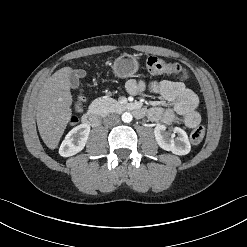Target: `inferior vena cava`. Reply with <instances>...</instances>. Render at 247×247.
Masks as SVG:
<instances>
[{"label": "inferior vena cava", "instance_id": "602c4592", "mask_svg": "<svg viewBox=\"0 0 247 247\" xmlns=\"http://www.w3.org/2000/svg\"><path fill=\"white\" fill-rule=\"evenodd\" d=\"M119 122L120 118L116 114H111L104 118V124L107 126H114L117 125Z\"/></svg>", "mask_w": 247, "mask_h": 247}]
</instances>
